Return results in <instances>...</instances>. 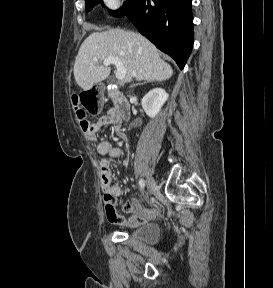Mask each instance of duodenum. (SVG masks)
<instances>
[{"label": "duodenum", "instance_id": "410a0bca", "mask_svg": "<svg viewBox=\"0 0 273 288\" xmlns=\"http://www.w3.org/2000/svg\"><path fill=\"white\" fill-rule=\"evenodd\" d=\"M107 95L114 103L117 116L121 121H127L130 118V103L125 95L116 87L107 90Z\"/></svg>", "mask_w": 273, "mask_h": 288}]
</instances>
